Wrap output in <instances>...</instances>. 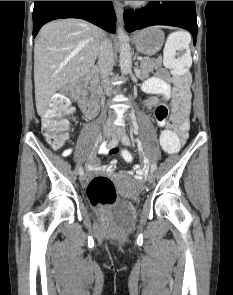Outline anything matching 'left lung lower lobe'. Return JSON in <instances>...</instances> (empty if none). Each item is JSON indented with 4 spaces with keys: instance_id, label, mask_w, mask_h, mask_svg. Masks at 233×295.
I'll return each instance as SVG.
<instances>
[{
    "instance_id": "1",
    "label": "left lung lower lobe",
    "mask_w": 233,
    "mask_h": 295,
    "mask_svg": "<svg viewBox=\"0 0 233 295\" xmlns=\"http://www.w3.org/2000/svg\"><path fill=\"white\" fill-rule=\"evenodd\" d=\"M124 22L128 32L151 25L181 27L191 32L194 45L196 44L195 1H150L145 8L125 10Z\"/></svg>"
}]
</instances>
